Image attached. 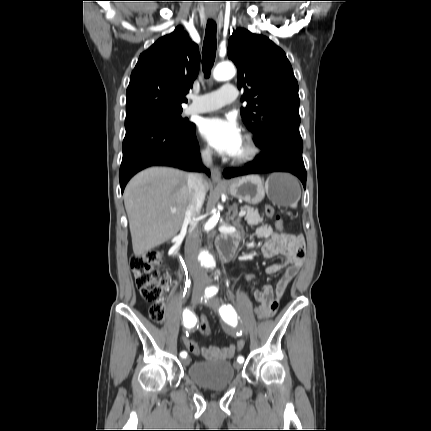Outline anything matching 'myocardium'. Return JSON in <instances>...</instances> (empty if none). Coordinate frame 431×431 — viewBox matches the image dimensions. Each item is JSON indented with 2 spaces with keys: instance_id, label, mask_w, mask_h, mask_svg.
<instances>
[{
  "instance_id": "myocardium-1",
  "label": "myocardium",
  "mask_w": 431,
  "mask_h": 431,
  "mask_svg": "<svg viewBox=\"0 0 431 431\" xmlns=\"http://www.w3.org/2000/svg\"><path fill=\"white\" fill-rule=\"evenodd\" d=\"M243 141L246 147L245 152L240 155H234L232 157V162L235 164H247L249 162H252L259 156L261 152V149L252 134H245L243 137Z\"/></svg>"
}]
</instances>
